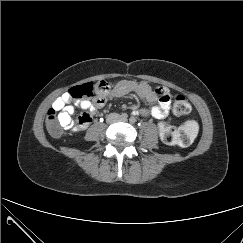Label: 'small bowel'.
<instances>
[{
    "instance_id": "c3829d8e",
    "label": "small bowel",
    "mask_w": 243,
    "mask_h": 243,
    "mask_svg": "<svg viewBox=\"0 0 243 243\" xmlns=\"http://www.w3.org/2000/svg\"><path fill=\"white\" fill-rule=\"evenodd\" d=\"M131 91H135L141 99L147 102H158V105L153 106L149 110L143 108L135 111V115L143 117L151 116L155 119H164L167 117L170 110V98L160 100L155 90L147 83L127 80L117 82L107 94H97L92 101L75 100L74 106L71 105L73 98H71L68 92H65L53 102L52 108L58 113V119L65 129L71 132H78L85 129L89 123L83 126H74L73 117L75 114V107L88 110L92 120V115L105 105L108 97H122Z\"/></svg>"
}]
</instances>
